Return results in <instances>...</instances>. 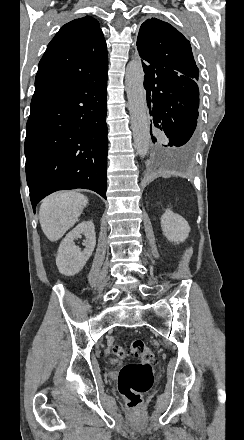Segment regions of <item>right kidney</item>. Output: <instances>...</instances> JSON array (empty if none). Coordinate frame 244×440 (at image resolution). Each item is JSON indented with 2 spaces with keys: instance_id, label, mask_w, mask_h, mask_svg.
I'll list each match as a JSON object with an SVG mask.
<instances>
[{
  "instance_id": "1",
  "label": "right kidney",
  "mask_w": 244,
  "mask_h": 440,
  "mask_svg": "<svg viewBox=\"0 0 244 440\" xmlns=\"http://www.w3.org/2000/svg\"><path fill=\"white\" fill-rule=\"evenodd\" d=\"M85 236L86 242L83 244L85 250L81 252L79 248L73 246L75 238ZM96 244L95 228L93 222H81L74 230H71L64 240H62L58 254L56 256V266L60 274L64 276H74L84 268L89 260Z\"/></svg>"
}]
</instances>
